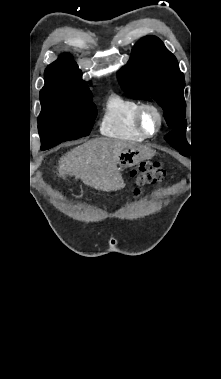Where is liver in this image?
I'll use <instances>...</instances> for the list:
<instances>
[{
  "label": "liver",
  "instance_id": "6515ba94",
  "mask_svg": "<svg viewBox=\"0 0 221 379\" xmlns=\"http://www.w3.org/2000/svg\"><path fill=\"white\" fill-rule=\"evenodd\" d=\"M136 145L133 142L96 138L67 152L59 161L60 177L75 176L87 186L101 191H116L123 187L117 169L122 151Z\"/></svg>",
  "mask_w": 221,
  "mask_h": 379
}]
</instances>
